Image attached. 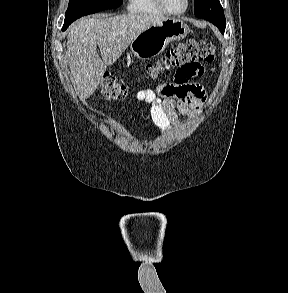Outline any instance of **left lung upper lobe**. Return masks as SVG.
Returning a JSON list of instances; mask_svg holds the SVG:
<instances>
[{
    "label": "left lung upper lobe",
    "mask_w": 288,
    "mask_h": 293,
    "mask_svg": "<svg viewBox=\"0 0 288 293\" xmlns=\"http://www.w3.org/2000/svg\"><path fill=\"white\" fill-rule=\"evenodd\" d=\"M194 14L198 18L210 21L224 33L226 19L219 0H194Z\"/></svg>",
    "instance_id": "5c2ea615"
}]
</instances>
